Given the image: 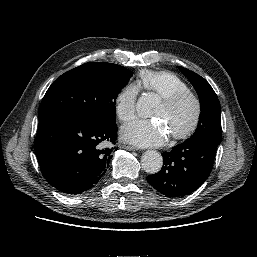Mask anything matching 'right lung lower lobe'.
<instances>
[{
    "mask_svg": "<svg viewBox=\"0 0 257 257\" xmlns=\"http://www.w3.org/2000/svg\"><path fill=\"white\" fill-rule=\"evenodd\" d=\"M117 139L116 123L69 113L39 120L34 149L47 182L67 194L95 186L106 173Z\"/></svg>",
    "mask_w": 257,
    "mask_h": 257,
    "instance_id": "right-lung-lower-lobe-1",
    "label": "right lung lower lobe"
}]
</instances>
